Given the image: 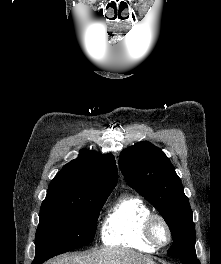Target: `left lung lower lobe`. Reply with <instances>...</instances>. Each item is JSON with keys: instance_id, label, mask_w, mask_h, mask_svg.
Segmentation results:
<instances>
[{"instance_id": "left-lung-lower-lobe-1", "label": "left lung lower lobe", "mask_w": 221, "mask_h": 264, "mask_svg": "<svg viewBox=\"0 0 221 264\" xmlns=\"http://www.w3.org/2000/svg\"><path fill=\"white\" fill-rule=\"evenodd\" d=\"M183 264H200L196 257L180 258Z\"/></svg>"}]
</instances>
